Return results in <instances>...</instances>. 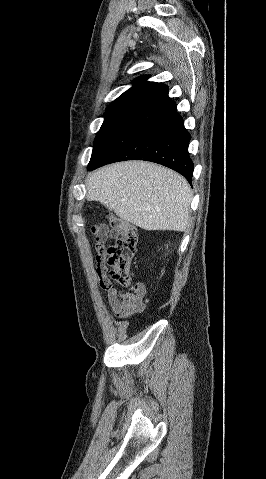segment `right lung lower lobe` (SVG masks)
I'll return each mask as SVG.
<instances>
[{"label":"right lung lower lobe","mask_w":266,"mask_h":479,"mask_svg":"<svg viewBox=\"0 0 266 479\" xmlns=\"http://www.w3.org/2000/svg\"><path fill=\"white\" fill-rule=\"evenodd\" d=\"M191 136L168 94L138 112L105 146L89 171L124 160H146L167 166L192 183Z\"/></svg>","instance_id":"98d812e1"}]
</instances>
